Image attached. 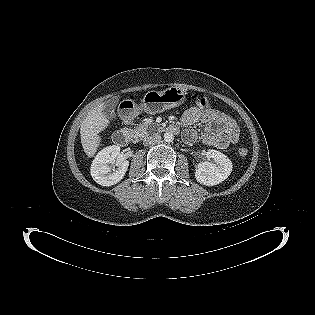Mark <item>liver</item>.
I'll use <instances>...</instances> for the list:
<instances>
[{"label":"liver","mask_w":315,"mask_h":315,"mask_svg":"<svg viewBox=\"0 0 315 315\" xmlns=\"http://www.w3.org/2000/svg\"><path fill=\"white\" fill-rule=\"evenodd\" d=\"M104 103L99 104L88 112L80 128L81 143L88 157H93L100 145L99 133L106 129L110 121L103 114Z\"/></svg>","instance_id":"1"}]
</instances>
